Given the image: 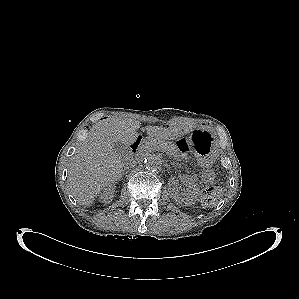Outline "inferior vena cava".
Returning <instances> with one entry per match:
<instances>
[{"mask_svg": "<svg viewBox=\"0 0 299 299\" xmlns=\"http://www.w3.org/2000/svg\"><path fill=\"white\" fill-rule=\"evenodd\" d=\"M136 165H137V161L136 160H129L125 164V166H127V168H129V167H135Z\"/></svg>", "mask_w": 299, "mask_h": 299, "instance_id": "inferior-vena-cava-1", "label": "inferior vena cava"}]
</instances>
